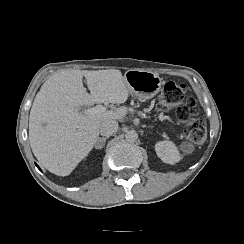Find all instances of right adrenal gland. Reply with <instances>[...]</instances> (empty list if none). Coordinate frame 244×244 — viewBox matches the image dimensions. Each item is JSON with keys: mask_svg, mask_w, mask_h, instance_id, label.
Masks as SVG:
<instances>
[{"mask_svg": "<svg viewBox=\"0 0 244 244\" xmlns=\"http://www.w3.org/2000/svg\"><path fill=\"white\" fill-rule=\"evenodd\" d=\"M107 139H108V137H103V138H101V137H97V139H96V143H95V148L98 147V145H99V143H100L101 141H103V143H102V147H103V146L105 145Z\"/></svg>", "mask_w": 244, "mask_h": 244, "instance_id": "obj_1", "label": "right adrenal gland"}]
</instances>
